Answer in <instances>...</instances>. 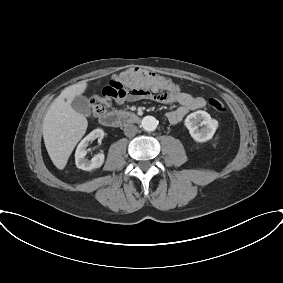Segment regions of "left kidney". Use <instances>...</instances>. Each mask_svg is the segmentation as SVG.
<instances>
[{
    "instance_id": "obj_1",
    "label": "left kidney",
    "mask_w": 283,
    "mask_h": 283,
    "mask_svg": "<svg viewBox=\"0 0 283 283\" xmlns=\"http://www.w3.org/2000/svg\"><path fill=\"white\" fill-rule=\"evenodd\" d=\"M184 124L189 130L191 137L199 143L212 139L216 129L218 128V121L212 119L210 114L202 110L189 114L186 117ZM198 125L204 127L199 129Z\"/></svg>"
}]
</instances>
